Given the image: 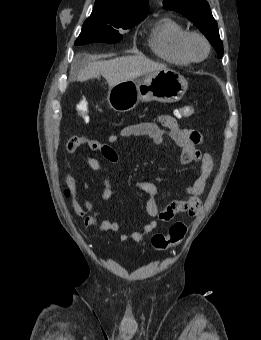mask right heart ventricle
Listing matches in <instances>:
<instances>
[{
	"label": "right heart ventricle",
	"mask_w": 261,
	"mask_h": 340,
	"mask_svg": "<svg viewBox=\"0 0 261 340\" xmlns=\"http://www.w3.org/2000/svg\"><path fill=\"white\" fill-rule=\"evenodd\" d=\"M187 29L175 18L164 15L152 27L148 45L162 60L174 65L186 66L192 61L181 49V38Z\"/></svg>",
	"instance_id": "1"
}]
</instances>
